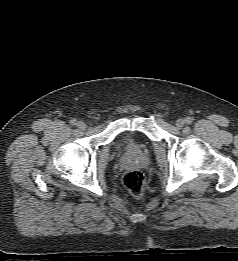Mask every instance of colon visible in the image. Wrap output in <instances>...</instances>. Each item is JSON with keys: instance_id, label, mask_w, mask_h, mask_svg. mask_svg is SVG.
<instances>
[{"instance_id": "colon-1", "label": "colon", "mask_w": 238, "mask_h": 261, "mask_svg": "<svg viewBox=\"0 0 238 261\" xmlns=\"http://www.w3.org/2000/svg\"><path fill=\"white\" fill-rule=\"evenodd\" d=\"M144 184V175L138 170H130L123 176V185L134 198L143 196Z\"/></svg>"}]
</instances>
